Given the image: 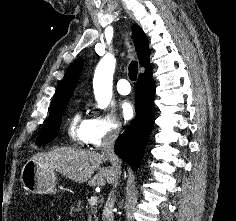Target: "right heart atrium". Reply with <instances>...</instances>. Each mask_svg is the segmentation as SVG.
<instances>
[{"label":"right heart atrium","instance_id":"1","mask_svg":"<svg viewBox=\"0 0 236 221\" xmlns=\"http://www.w3.org/2000/svg\"><path fill=\"white\" fill-rule=\"evenodd\" d=\"M121 123L110 113L94 112L86 129V144L97 148L104 142L116 139L121 132Z\"/></svg>","mask_w":236,"mask_h":221}]
</instances>
